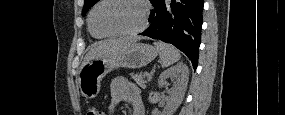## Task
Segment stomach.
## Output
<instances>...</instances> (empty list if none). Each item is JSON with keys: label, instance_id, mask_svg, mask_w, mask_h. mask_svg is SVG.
Here are the masks:
<instances>
[{"label": "stomach", "instance_id": "obj_1", "mask_svg": "<svg viewBox=\"0 0 285 115\" xmlns=\"http://www.w3.org/2000/svg\"><path fill=\"white\" fill-rule=\"evenodd\" d=\"M156 48L149 44L132 43L119 54L88 61L80 70L78 84L82 96L95 98L100 92V82L116 68H142L157 56Z\"/></svg>", "mask_w": 285, "mask_h": 115}]
</instances>
